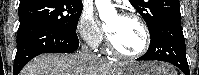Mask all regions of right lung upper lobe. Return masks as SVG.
Segmentation results:
<instances>
[{
    "label": "right lung upper lobe",
    "instance_id": "obj_1",
    "mask_svg": "<svg viewBox=\"0 0 199 75\" xmlns=\"http://www.w3.org/2000/svg\"><path fill=\"white\" fill-rule=\"evenodd\" d=\"M26 1H29V0H20V3H24ZM70 1H78V2H81L80 0H70Z\"/></svg>",
    "mask_w": 199,
    "mask_h": 75
}]
</instances>
